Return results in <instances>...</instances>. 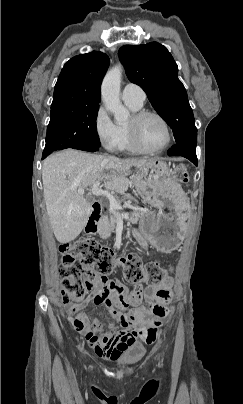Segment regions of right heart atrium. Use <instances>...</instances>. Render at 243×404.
I'll use <instances>...</instances> for the list:
<instances>
[{"label":"right heart atrium","instance_id":"d8ad5b80","mask_svg":"<svg viewBox=\"0 0 243 404\" xmlns=\"http://www.w3.org/2000/svg\"><path fill=\"white\" fill-rule=\"evenodd\" d=\"M93 128L102 148L113 153L120 152L121 137L118 126L102 104L94 112Z\"/></svg>","mask_w":243,"mask_h":404}]
</instances>
